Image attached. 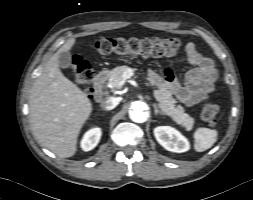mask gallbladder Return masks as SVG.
I'll return each mask as SVG.
<instances>
[{
  "mask_svg": "<svg viewBox=\"0 0 253 200\" xmlns=\"http://www.w3.org/2000/svg\"><path fill=\"white\" fill-rule=\"evenodd\" d=\"M59 66L61 68H68L71 66V56L68 53H63L60 55Z\"/></svg>",
  "mask_w": 253,
  "mask_h": 200,
  "instance_id": "bac80fb5",
  "label": "gallbladder"
}]
</instances>
